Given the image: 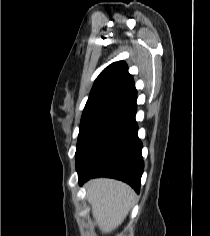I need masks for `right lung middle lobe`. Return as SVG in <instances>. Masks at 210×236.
<instances>
[{"instance_id":"obj_1","label":"right lung middle lobe","mask_w":210,"mask_h":236,"mask_svg":"<svg viewBox=\"0 0 210 236\" xmlns=\"http://www.w3.org/2000/svg\"><path fill=\"white\" fill-rule=\"evenodd\" d=\"M132 94L131 91L121 90L86 104L81 118L76 152L96 126L120 107Z\"/></svg>"}]
</instances>
